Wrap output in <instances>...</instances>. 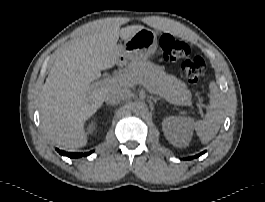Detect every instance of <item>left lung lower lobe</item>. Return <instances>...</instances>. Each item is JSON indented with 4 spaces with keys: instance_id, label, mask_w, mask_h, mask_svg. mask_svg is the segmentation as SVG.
I'll return each instance as SVG.
<instances>
[{
    "instance_id": "obj_1",
    "label": "left lung lower lobe",
    "mask_w": 265,
    "mask_h": 202,
    "mask_svg": "<svg viewBox=\"0 0 265 202\" xmlns=\"http://www.w3.org/2000/svg\"><path fill=\"white\" fill-rule=\"evenodd\" d=\"M204 153H205V151H204V152H202V153H200V154H198V155H196V156L190 157L189 159H192V158H197V157H199L201 154H204Z\"/></svg>"
}]
</instances>
